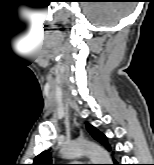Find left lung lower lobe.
Masks as SVG:
<instances>
[{"label":"left lung lower lobe","mask_w":154,"mask_h":165,"mask_svg":"<svg viewBox=\"0 0 154 165\" xmlns=\"http://www.w3.org/2000/svg\"><path fill=\"white\" fill-rule=\"evenodd\" d=\"M114 165H120V164H118V163L115 161Z\"/></svg>","instance_id":"left-lung-lower-lobe-1"}]
</instances>
